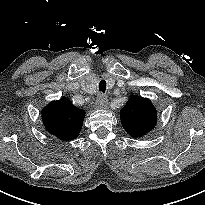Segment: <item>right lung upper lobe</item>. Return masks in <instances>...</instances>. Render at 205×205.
<instances>
[{
	"mask_svg": "<svg viewBox=\"0 0 205 205\" xmlns=\"http://www.w3.org/2000/svg\"><path fill=\"white\" fill-rule=\"evenodd\" d=\"M84 116L85 112L67 98L53 101L42 110L46 130L65 141L73 140L79 135Z\"/></svg>",
	"mask_w": 205,
	"mask_h": 205,
	"instance_id": "right-lung-upper-lobe-1",
	"label": "right lung upper lobe"
}]
</instances>
